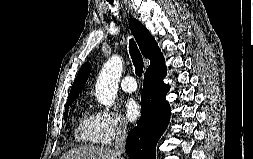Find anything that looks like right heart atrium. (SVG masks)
Instances as JSON below:
<instances>
[{"label":"right heart atrium","mask_w":253,"mask_h":159,"mask_svg":"<svg viewBox=\"0 0 253 159\" xmlns=\"http://www.w3.org/2000/svg\"><path fill=\"white\" fill-rule=\"evenodd\" d=\"M100 133V143L111 144L116 138L127 132V124L122 117L113 110L101 109L96 113Z\"/></svg>","instance_id":"obj_1"}]
</instances>
